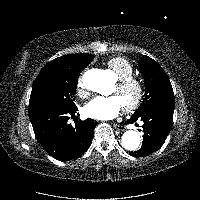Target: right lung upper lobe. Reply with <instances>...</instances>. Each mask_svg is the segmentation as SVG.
<instances>
[{
  "mask_svg": "<svg viewBox=\"0 0 200 200\" xmlns=\"http://www.w3.org/2000/svg\"><path fill=\"white\" fill-rule=\"evenodd\" d=\"M86 54L88 53L70 54L58 57L46 64L39 73V76H55L75 70L81 65Z\"/></svg>",
  "mask_w": 200,
  "mask_h": 200,
  "instance_id": "cb5924a9",
  "label": "right lung upper lobe"
}]
</instances>
